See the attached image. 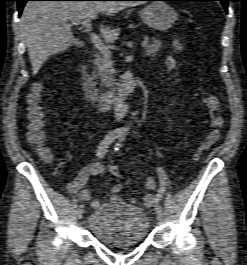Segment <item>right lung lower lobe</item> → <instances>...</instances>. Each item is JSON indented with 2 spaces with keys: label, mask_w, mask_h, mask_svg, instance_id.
<instances>
[{
  "label": "right lung lower lobe",
  "mask_w": 247,
  "mask_h": 265,
  "mask_svg": "<svg viewBox=\"0 0 247 265\" xmlns=\"http://www.w3.org/2000/svg\"><path fill=\"white\" fill-rule=\"evenodd\" d=\"M18 2L19 15L22 13V9L27 1H132V0H16Z\"/></svg>",
  "instance_id": "98d812e1"
}]
</instances>
